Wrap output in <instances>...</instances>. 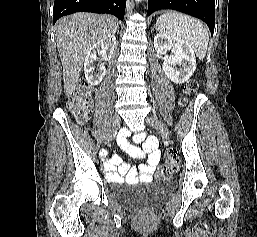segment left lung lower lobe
I'll list each match as a JSON object with an SVG mask.
<instances>
[{
	"mask_svg": "<svg viewBox=\"0 0 257 237\" xmlns=\"http://www.w3.org/2000/svg\"><path fill=\"white\" fill-rule=\"evenodd\" d=\"M161 9H173L199 18L208 25L211 35L214 32L215 0H148V15Z\"/></svg>",
	"mask_w": 257,
	"mask_h": 237,
	"instance_id": "1",
	"label": "left lung lower lobe"
}]
</instances>
